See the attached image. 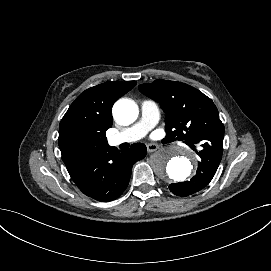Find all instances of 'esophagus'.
Masks as SVG:
<instances>
[{
    "instance_id": "obj_1",
    "label": "esophagus",
    "mask_w": 271,
    "mask_h": 271,
    "mask_svg": "<svg viewBox=\"0 0 271 271\" xmlns=\"http://www.w3.org/2000/svg\"><path fill=\"white\" fill-rule=\"evenodd\" d=\"M146 147H147V151L149 153L155 152L156 150H158V145L155 144V143H149V144L146 145Z\"/></svg>"
}]
</instances>
